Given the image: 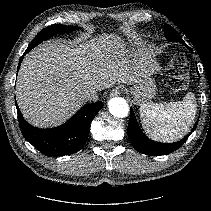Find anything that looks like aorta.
<instances>
[{"label": "aorta", "instance_id": "aorta-1", "mask_svg": "<svg viewBox=\"0 0 211 211\" xmlns=\"http://www.w3.org/2000/svg\"><path fill=\"white\" fill-rule=\"evenodd\" d=\"M109 112L119 118H124L129 113V106L125 99L121 97L111 98L108 102Z\"/></svg>", "mask_w": 211, "mask_h": 211}]
</instances>
